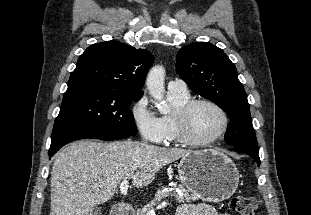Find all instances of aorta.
<instances>
[{"mask_svg":"<svg viewBox=\"0 0 311 215\" xmlns=\"http://www.w3.org/2000/svg\"><path fill=\"white\" fill-rule=\"evenodd\" d=\"M164 80H165V69L163 66L157 65L153 67L146 78V85L149 94L157 102V108L161 114H167L170 107L165 101H163L164 96Z\"/></svg>","mask_w":311,"mask_h":215,"instance_id":"1","label":"aorta"}]
</instances>
